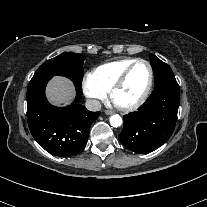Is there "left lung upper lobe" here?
Here are the masks:
<instances>
[{
	"mask_svg": "<svg viewBox=\"0 0 207 207\" xmlns=\"http://www.w3.org/2000/svg\"><path fill=\"white\" fill-rule=\"evenodd\" d=\"M151 65L155 74V88L167 83L177 82L170 66L155 55L150 54Z\"/></svg>",
	"mask_w": 207,
	"mask_h": 207,
	"instance_id": "5c2ea615",
	"label": "left lung upper lobe"
}]
</instances>
